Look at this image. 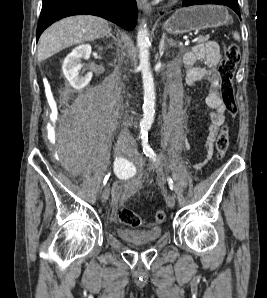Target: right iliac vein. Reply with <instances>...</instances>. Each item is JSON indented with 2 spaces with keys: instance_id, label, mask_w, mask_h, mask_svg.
<instances>
[{
  "instance_id": "obj_1",
  "label": "right iliac vein",
  "mask_w": 267,
  "mask_h": 298,
  "mask_svg": "<svg viewBox=\"0 0 267 298\" xmlns=\"http://www.w3.org/2000/svg\"><path fill=\"white\" fill-rule=\"evenodd\" d=\"M126 150V146L124 144H118L116 145L115 149H114V155L115 157H119L123 152H125ZM109 198V188L106 186L103 190H102V200L103 202H106Z\"/></svg>"
}]
</instances>
